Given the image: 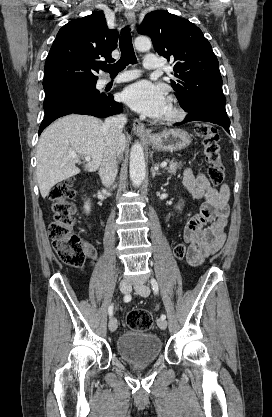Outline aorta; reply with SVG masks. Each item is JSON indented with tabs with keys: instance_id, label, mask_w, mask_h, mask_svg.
I'll return each mask as SVG.
<instances>
[{
	"instance_id": "762f6f07",
	"label": "aorta",
	"mask_w": 272,
	"mask_h": 417,
	"mask_svg": "<svg viewBox=\"0 0 272 417\" xmlns=\"http://www.w3.org/2000/svg\"><path fill=\"white\" fill-rule=\"evenodd\" d=\"M152 43L148 37L139 36L135 39V47L139 51H147ZM130 179L135 187H139L146 175L144 151L139 142H135L130 151Z\"/></svg>"
}]
</instances>
